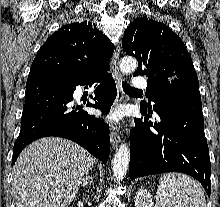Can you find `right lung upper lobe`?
I'll return each mask as SVG.
<instances>
[{"mask_svg": "<svg viewBox=\"0 0 220 207\" xmlns=\"http://www.w3.org/2000/svg\"><path fill=\"white\" fill-rule=\"evenodd\" d=\"M113 51L114 45L94 23L71 22L53 33L41 46L28 77L52 75L82 80L110 68L107 61Z\"/></svg>", "mask_w": 220, "mask_h": 207, "instance_id": "cb5924a9", "label": "right lung upper lobe"}]
</instances>
